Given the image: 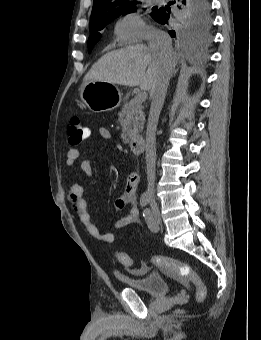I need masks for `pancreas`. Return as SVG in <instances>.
Here are the masks:
<instances>
[{"instance_id":"pancreas-1","label":"pancreas","mask_w":261,"mask_h":340,"mask_svg":"<svg viewBox=\"0 0 261 340\" xmlns=\"http://www.w3.org/2000/svg\"><path fill=\"white\" fill-rule=\"evenodd\" d=\"M119 122L122 126L121 138L124 143H128L134 135L143 130L144 115L141 105L133 100L126 102L119 113Z\"/></svg>"}]
</instances>
